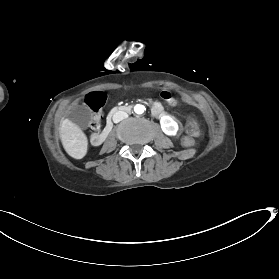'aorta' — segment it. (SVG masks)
Returning <instances> with one entry per match:
<instances>
[{
  "instance_id": "762f6f07",
  "label": "aorta",
  "mask_w": 279,
  "mask_h": 279,
  "mask_svg": "<svg viewBox=\"0 0 279 279\" xmlns=\"http://www.w3.org/2000/svg\"><path fill=\"white\" fill-rule=\"evenodd\" d=\"M145 107L143 105L137 104L134 107V111L136 114H142L144 112Z\"/></svg>"
}]
</instances>
